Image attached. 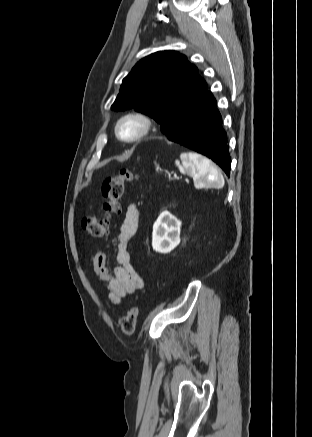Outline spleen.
<instances>
[{"instance_id": "3e777b00", "label": "spleen", "mask_w": 312, "mask_h": 437, "mask_svg": "<svg viewBox=\"0 0 312 437\" xmlns=\"http://www.w3.org/2000/svg\"><path fill=\"white\" fill-rule=\"evenodd\" d=\"M181 165L176 161L180 171L191 176L196 184L202 187L220 189L224 186V178L218 167L208 158L194 152L180 155Z\"/></svg>"}]
</instances>
